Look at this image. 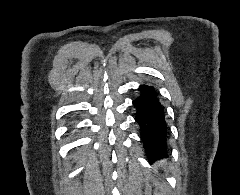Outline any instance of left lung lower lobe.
I'll use <instances>...</instances> for the list:
<instances>
[{
  "instance_id": "1",
  "label": "left lung lower lobe",
  "mask_w": 240,
  "mask_h": 195,
  "mask_svg": "<svg viewBox=\"0 0 240 195\" xmlns=\"http://www.w3.org/2000/svg\"><path fill=\"white\" fill-rule=\"evenodd\" d=\"M140 94L133 100L135 120L140 127V136L149 159L165 154L167 150V125L164 108L155 88L140 85Z\"/></svg>"
}]
</instances>
